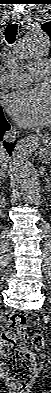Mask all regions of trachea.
I'll return each instance as SVG.
<instances>
[{
  "label": "trachea",
  "instance_id": "3493384b",
  "mask_svg": "<svg viewBox=\"0 0 51 393\" xmlns=\"http://www.w3.org/2000/svg\"><path fill=\"white\" fill-rule=\"evenodd\" d=\"M17 28H18L17 24H9L6 27L4 35H5L6 41L9 44H13L15 42L16 35H17Z\"/></svg>",
  "mask_w": 51,
  "mask_h": 393
}]
</instances>
